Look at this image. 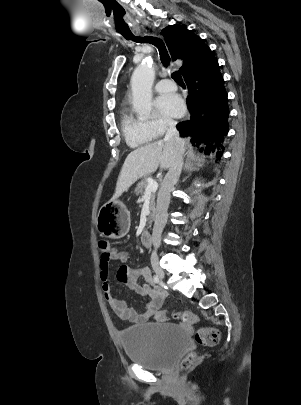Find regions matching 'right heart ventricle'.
Returning <instances> with one entry per match:
<instances>
[{
  "instance_id": "right-heart-ventricle-1",
  "label": "right heart ventricle",
  "mask_w": 301,
  "mask_h": 405,
  "mask_svg": "<svg viewBox=\"0 0 301 405\" xmlns=\"http://www.w3.org/2000/svg\"><path fill=\"white\" fill-rule=\"evenodd\" d=\"M120 124L125 140L132 148L146 145L155 138L147 122L136 117L128 109L121 113Z\"/></svg>"
}]
</instances>
